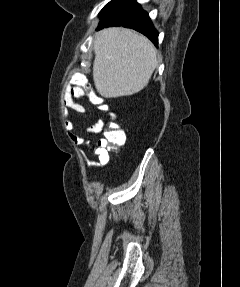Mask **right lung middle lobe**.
<instances>
[{
  "label": "right lung middle lobe",
  "instance_id": "right-lung-middle-lobe-1",
  "mask_svg": "<svg viewBox=\"0 0 240 287\" xmlns=\"http://www.w3.org/2000/svg\"><path fill=\"white\" fill-rule=\"evenodd\" d=\"M109 4V3H108ZM108 4L102 9V11L100 12V15L103 13V11L105 10V8L108 6Z\"/></svg>",
  "mask_w": 240,
  "mask_h": 287
}]
</instances>
